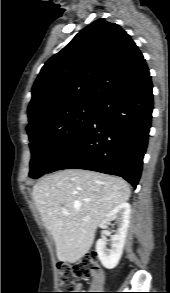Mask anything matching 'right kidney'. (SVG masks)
<instances>
[{
	"instance_id": "right-kidney-1",
	"label": "right kidney",
	"mask_w": 170,
	"mask_h": 293,
	"mask_svg": "<svg viewBox=\"0 0 170 293\" xmlns=\"http://www.w3.org/2000/svg\"><path fill=\"white\" fill-rule=\"evenodd\" d=\"M130 212V204L123 202L111 210L104 219L106 224L115 219L118 226L116 233L111 237V248L106 247V238H101L96 243L98 257L107 269L115 268L121 259L129 227Z\"/></svg>"
}]
</instances>
